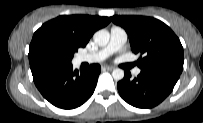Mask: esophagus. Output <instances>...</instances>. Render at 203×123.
<instances>
[{
  "label": "esophagus",
  "instance_id": "esophagus-1",
  "mask_svg": "<svg viewBox=\"0 0 203 123\" xmlns=\"http://www.w3.org/2000/svg\"><path fill=\"white\" fill-rule=\"evenodd\" d=\"M102 69H103V70L111 71V70L114 69V67H112V66H103Z\"/></svg>",
  "mask_w": 203,
  "mask_h": 123
}]
</instances>
